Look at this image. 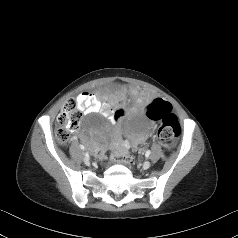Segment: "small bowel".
Here are the masks:
<instances>
[{"instance_id":"obj_1","label":"small bowel","mask_w":238,"mask_h":238,"mask_svg":"<svg viewBox=\"0 0 238 238\" xmlns=\"http://www.w3.org/2000/svg\"><path fill=\"white\" fill-rule=\"evenodd\" d=\"M76 101L81 111H83L85 115L98 113V112H101L104 115H108L106 110L109 107V104L99 100L95 94L88 93V92L80 93L77 96ZM143 139H144L143 136L137 137L132 141L125 139L119 144V148L123 150H127L132 144H138Z\"/></svg>"}]
</instances>
